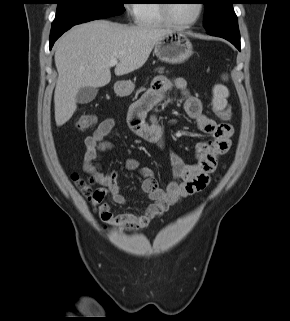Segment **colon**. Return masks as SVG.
Returning <instances> with one entry per match:
<instances>
[{"instance_id":"5ec220e1","label":"colon","mask_w":290,"mask_h":321,"mask_svg":"<svg viewBox=\"0 0 290 321\" xmlns=\"http://www.w3.org/2000/svg\"><path fill=\"white\" fill-rule=\"evenodd\" d=\"M215 113L222 119L229 120L232 116L230 109H215ZM96 123V118L92 114H83L80 116L77 122V128L80 131L90 130ZM73 180L76 183L81 193L88 199L93 200L94 198H102L103 191L99 188H94L91 181L77 175L73 176Z\"/></svg>"}]
</instances>
